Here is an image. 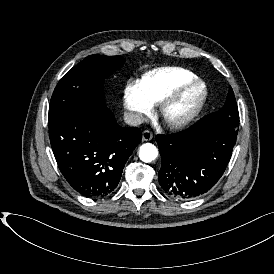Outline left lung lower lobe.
<instances>
[{"mask_svg":"<svg viewBox=\"0 0 274 274\" xmlns=\"http://www.w3.org/2000/svg\"><path fill=\"white\" fill-rule=\"evenodd\" d=\"M236 138L237 133L201 121L177 134L156 135L164 192L179 199L205 194L226 170Z\"/></svg>","mask_w":274,"mask_h":274,"instance_id":"left-lung-lower-lobe-1","label":"left lung lower lobe"}]
</instances>
